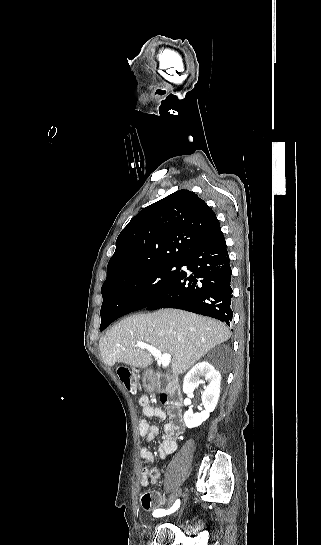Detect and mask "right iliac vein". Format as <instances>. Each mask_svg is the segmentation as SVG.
I'll return each mask as SVG.
<instances>
[{"label": "right iliac vein", "mask_w": 321, "mask_h": 545, "mask_svg": "<svg viewBox=\"0 0 321 545\" xmlns=\"http://www.w3.org/2000/svg\"><path fill=\"white\" fill-rule=\"evenodd\" d=\"M182 490L180 487H177L174 492L172 493L171 495V498H170V504H172L181 494Z\"/></svg>", "instance_id": "right-iliac-vein-1"}]
</instances>
